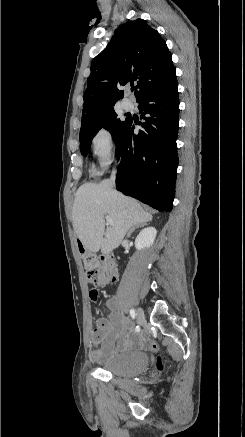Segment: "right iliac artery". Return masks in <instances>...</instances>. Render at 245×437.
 <instances>
[{
  "label": "right iliac artery",
  "instance_id": "obj_1",
  "mask_svg": "<svg viewBox=\"0 0 245 437\" xmlns=\"http://www.w3.org/2000/svg\"><path fill=\"white\" fill-rule=\"evenodd\" d=\"M130 315H131V317H132L133 319H135V317H136V313H135V310H134V309H131V310H130Z\"/></svg>",
  "mask_w": 245,
  "mask_h": 437
}]
</instances>
